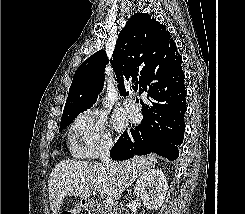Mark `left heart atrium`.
<instances>
[{
  "label": "left heart atrium",
  "mask_w": 245,
  "mask_h": 214,
  "mask_svg": "<svg viewBox=\"0 0 245 214\" xmlns=\"http://www.w3.org/2000/svg\"><path fill=\"white\" fill-rule=\"evenodd\" d=\"M115 125H116L117 128L121 127V124L119 122H116Z\"/></svg>",
  "instance_id": "left-heart-atrium-1"
}]
</instances>
